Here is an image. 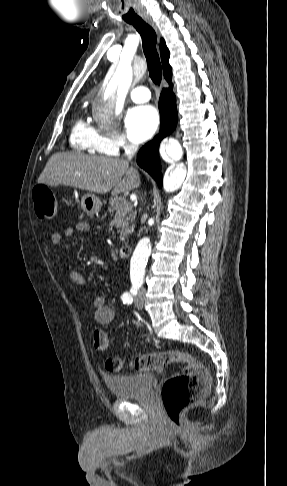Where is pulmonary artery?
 Returning a JSON list of instances; mask_svg holds the SVG:
<instances>
[{"instance_id": "pulmonary-artery-1", "label": "pulmonary artery", "mask_w": 287, "mask_h": 486, "mask_svg": "<svg viewBox=\"0 0 287 486\" xmlns=\"http://www.w3.org/2000/svg\"><path fill=\"white\" fill-rule=\"evenodd\" d=\"M129 96L134 102L143 103L150 99V92L145 86H137L130 90Z\"/></svg>"}]
</instances>
